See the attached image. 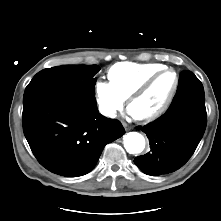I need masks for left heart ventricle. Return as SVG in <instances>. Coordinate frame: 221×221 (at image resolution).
<instances>
[{
  "instance_id": "1",
  "label": "left heart ventricle",
  "mask_w": 221,
  "mask_h": 221,
  "mask_svg": "<svg viewBox=\"0 0 221 221\" xmlns=\"http://www.w3.org/2000/svg\"><path fill=\"white\" fill-rule=\"evenodd\" d=\"M174 84L175 76L172 72L163 74L144 96L131 105V113L134 116H146L158 111L169 97Z\"/></svg>"
}]
</instances>
